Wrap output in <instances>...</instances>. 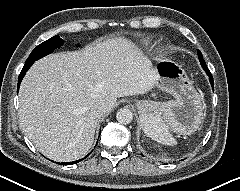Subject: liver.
<instances>
[{
	"label": "liver",
	"instance_id": "obj_1",
	"mask_svg": "<svg viewBox=\"0 0 240 191\" xmlns=\"http://www.w3.org/2000/svg\"><path fill=\"white\" fill-rule=\"evenodd\" d=\"M157 78L139 48L124 38L48 55L22 80L20 127L49 159H80L93 144L99 119L115 107L117 98L144 94ZM101 101L108 105L105 113L95 108Z\"/></svg>",
	"mask_w": 240,
	"mask_h": 191
}]
</instances>
